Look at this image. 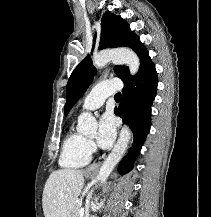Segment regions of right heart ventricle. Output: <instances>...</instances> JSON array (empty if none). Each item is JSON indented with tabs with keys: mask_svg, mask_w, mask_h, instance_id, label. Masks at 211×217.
<instances>
[{
	"mask_svg": "<svg viewBox=\"0 0 211 217\" xmlns=\"http://www.w3.org/2000/svg\"><path fill=\"white\" fill-rule=\"evenodd\" d=\"M91 160L87 139L74 129L66 135L59 158V164L65 168H81Z\"/></svg>",
	"mask_w": 211,
	"mask_h": 217,
	"instance_id": "right-heart-ventricle-1",
	"label": "right heart ventricle"
}]
</instances>
